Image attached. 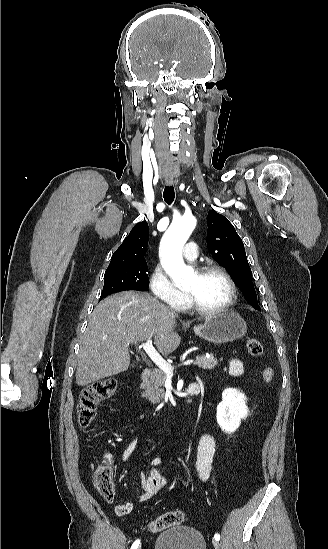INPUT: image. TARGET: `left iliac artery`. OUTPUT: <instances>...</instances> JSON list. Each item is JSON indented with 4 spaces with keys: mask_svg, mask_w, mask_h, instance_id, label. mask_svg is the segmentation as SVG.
Returning <instances> with one entry per match:
<instances>
[{
    "mask_svg": "<svg viewBox=\"0 0 328 549\" xmlns=\"http://www.w3.org/2000/svg\"><path fill=\"white\" fill-rule=\"evenodd\" d=\"M214 538H215V540H218V541H219V540H220V535L216 533V534L214 535Z\"/></svg>",
    "mask_w": 328,
    "mask_h": 549,
    "instance_id": "obj_1",
    "label": "left iliac artery"
}]
</instances>
